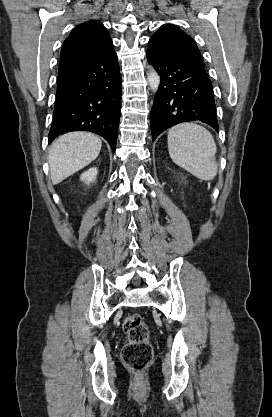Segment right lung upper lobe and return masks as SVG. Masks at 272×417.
I'll return each mask as SVG.
<instances>
[{
  "label": "right lung upper lobe",
  "instance_id": "obj_1",
  "mask_svg": "<svg viewBox=\"0 0 272 417\" xmlns=\"http://www.w3.org/2000/svg\"><path fill=\"white\" fill-rule=\"evenodd\" d=\"M111 38L107 29L99 21H88L75 27L64 41L60 63L77 62L98 55Z\"/></svg>",
  "mask_w": 272,
  "mask_h": 417
}]
</instances>
